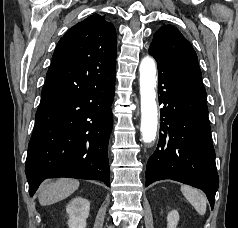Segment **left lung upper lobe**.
Segmentation results:
<instances>
[{
	"instance_id": "1",
	"label": "left lung upper lobe",
	"mask_w": 238,
	"mask_h": 228,
	"mask_svg": "<svg viewBox=\"0 0 238 228\" xmlns=\"http://www.w3.org/2000/svg\"><path fill=\"white\" fill-rule=\"evenodd\" d=\"M149 54L157 63H161L174 74L206 92L197 55L192 45L176 27L164 25L157 30L149 47Z\"/></svg>"
}]
</instances>
